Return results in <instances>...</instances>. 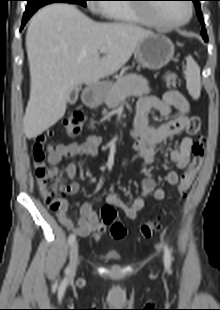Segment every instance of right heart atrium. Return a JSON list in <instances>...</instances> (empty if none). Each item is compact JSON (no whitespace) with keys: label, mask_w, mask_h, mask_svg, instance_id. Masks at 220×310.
I'll list each match as a JSON object with an SVG mask.
<instances>
[{"label":"right heart atrium","mask_w":220,"mask_h":310,"mask_svg":"<svg viewBox=\"0 0 220 310\" xmlns=\"http://www.w3.org/2000/svg\"><path fill=\"white\" fill-rule=\"evenodd\" d=\"M102 7H99V10L101 11Z\"/></svg>","instance_id":"1"}]
</instances>
